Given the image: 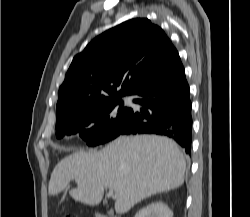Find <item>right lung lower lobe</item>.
Masks as SVG:
<instances>
[{
	"label": "right lung lower lobe",
	"instance_id": "obj_1",
	"mask_svg": "<svg viewBox=\"0 0 250 217\" xmlns=\"http://www.w3.org/2000/svg\"><path fill=\"white\" fill-rule=\"evenodd\" d=\"M133 100L142 108L133 111L121 134L154 133L173 138L191 153L192 104L180 57L160 77L138 91Z\"/></svg>",
	"mask_w": 250,
	"mask_h": 217
}]
</instances>
